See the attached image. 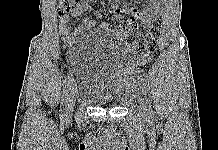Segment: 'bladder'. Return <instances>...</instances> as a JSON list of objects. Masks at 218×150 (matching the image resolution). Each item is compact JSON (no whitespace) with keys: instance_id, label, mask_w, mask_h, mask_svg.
I'll return each mask as SVG.
<instances>
[{"instance_id":"31cf9c89","label":"bladder","mask_w":218,"mask_h":150,"mask_svg":"<svg viewBox=\"0 0 218 150\" xmlns=\"http://www.w3.org/2000/svg\"><path fill=\"white\" fill-rule=\"evenodd\" d=\"M122 58L118 42L109 34H86L79 44L75 68L80 95L98 106L120 103L135 82Z\"/></svg>"}]
</instances>
